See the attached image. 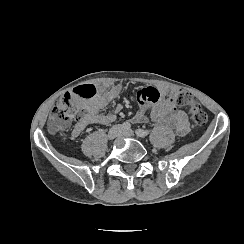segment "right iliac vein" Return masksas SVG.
Here are the masks:
<instances>
[{
  "instance_id": "1",
  "label": "right iliac vein",
  "mask_w": 244,
  "mask_h": 244,
  "mask_svg": "<svg viewBox=\"0 0 244 244\" xmlns=\"http://www.w3.org/2000/svg\"><path fill=\"white\" fill-rule=\"evenodd\" d=\"M121 131H122V127L120 125H115L109 130L107 134V138L109 140H113L120 135Z\"/></svg>"
}]
</instances>
